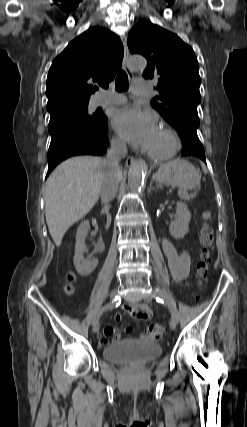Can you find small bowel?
<instances>
[{"label": "small bowel", "mask_w": 247, "mask_h": 427, "mask_svg": "<svg viewBox=\"0 0 247 427\" xmlns=\"http://www.w3.org/2000/svg\"><path fill=\"white\" fill-rule=\"evenodd\" d=\"M162 249L165 257L168 260V265L170 272L173 278L176 281H181L188 276L190 269V256L187 251L183 250L179 252L176 247L167 239L162 240ZM125 310L134 318L139 320H148L152 317V310L144 304H136L130 303L125 307ZM122 315L121 313L115 314V320L121 321ZM132 328L126 327L125 333H131ZM104 337L101 339L100 343L102 345H106L108 343V339L112 338V341L117 343L121 341L122 335L117 332L116 329L112 325H106L103 330ZM149 336L142 335L141 339H148Z\"/></svg>", "instance_id": "obj_1"}]
</instances>
